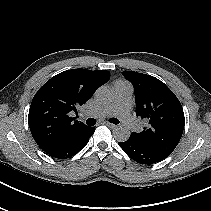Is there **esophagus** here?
<instances>
[{
    "instance_id": "esophagus-1",
    "label": "esophagus",
    "mask_w": 211,
    "mask_h": 211,
    "mask_svg": "<svg viewBox=\"0 0 211 211\" xmlns=\"http://www.w3.org/2000/svg\"><path fill=\"white\" fill-rule=\"evenodd\" d=\"M104 124L107 125L109 128H112V129L116 127V125H114V124H112L108 121H105Z\"/></svg>"
}]
</instances>
